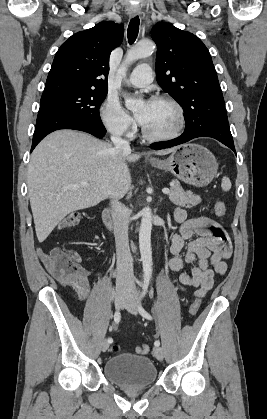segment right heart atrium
Returning <instances> with one entry per match:
<instances>
[{
	"instance_id": "right-heart-atrium-1",
	"label": "right heart atrium",
	"mask_w": 267,
	"mask_h": 419,
	"mask_svg": "<svg viewBox=\"0 0 267 419\" xmlns=\"http://www.w3.org/2000/svg\"><path fill=\"white\" fill-rule=\"evenodd\" d=\"M100 116L109 132L118 136H129L134 130V120L115 99L108 97L101 106Z\"/></svg>"
}]
</instances>
